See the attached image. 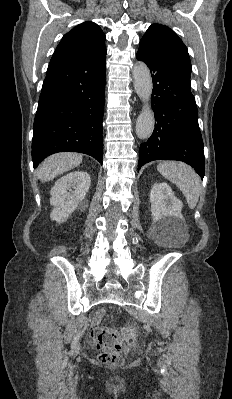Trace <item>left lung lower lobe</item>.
I'll list each match as a JSON object with an SVG mask.
<instances>
[{"mask_svg": "<svg viewBox=\"0 0 232 399\" xmlns=\"http://www.w3.org/2000/svg\"><path fill=\"white\" fill-rule=\"evenodd\" d=\"M136 57L152 74L151 103L156 120L152 136L140 145L138 170L150 161L178 160L191 165L203 179V140L190 81L157 50L140 46Z\"/></svg>", "mask_w": 232, "mask_h": 399, "instance_id": "0a47b994", "label": "left lung lower lobe"}]
</instances>
